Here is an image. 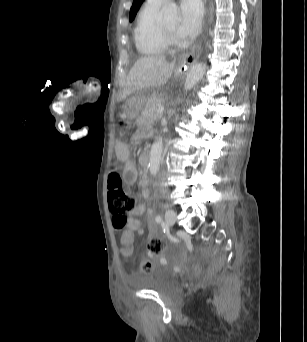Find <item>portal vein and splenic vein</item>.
Segmentation results:
<instances>
[{
  "label": "portal vein and splenic vein",
  "instance_id": "1",
  "mask_svg": "<svg viewBox=\"0 0 307 342\" xmlns=\"http://www.w3.org/2000/svg\"><path fill=\"white\" fill-rule=\"evenodd\" d=\"M164 109H165V108H164L163 106H160V107H159V110H160V111H163Z\"/></svg>",
  "mask_w": 307,
  "mask_h": 342
}]
</instances>
